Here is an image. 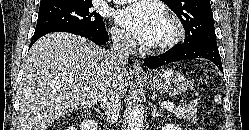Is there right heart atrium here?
I'll use <instances>...</instances> for the list:
<instances>
[{
  "label": "right heart atrium",
  "mask_w": 249,
  "mask_h": 130,
  "mask_svg": "<svg viewBox=\"0 0 249 130\" xmlns=\"http://www.w3.org/2000/svg\"><path fill=\"white\" fill-rule=\"evenodd\" d=\"M110 34L116 44L125 48L131 47L132 40L129 35L123 30L117 28L116 26H112L110 28Z\"/></svg>",
  "instance_id": "right-heart-atrium-1"
}]
</instances>
